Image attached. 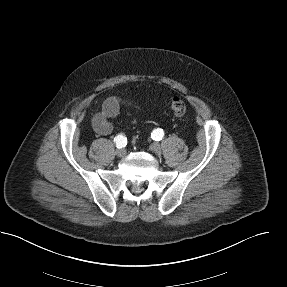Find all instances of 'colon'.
Instances as JSON below:
<instances>
[{"label": "colon", "instance_id": "obj_1", "mask_svg": "<svg viewBox=\"0 0 287 287\" xmlns=\"http://www.w3.org/2000/svg\"><path fill=\"white\" fill-rule=\"evenodd\" d=\"M167 106L176 116H183L186 113V104L178 96H171L166 99Z\"/></svg>", "mask_w": 287, "mask_h": 287}]
</instances>
